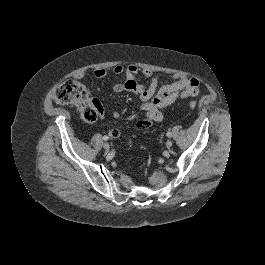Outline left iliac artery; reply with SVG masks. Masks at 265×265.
Wrapping results in <instances>:
<instances>
[{
    "label": "left iliac artery",
    "mask_w": 265,
    "mask_h": 265,
    "mask_svg": "<svg viewBox=\"0 0 265 265\" xmlns=\"http://www.w3.org/2000/svg\"><path fill=\"white\" fill-rule=\"evenodd\" d=\"M168 137H171L172 136V133L171 132H167L166 134Z\"/></svg>",
    "instance_id": "44dca946"
}]
</instances>
